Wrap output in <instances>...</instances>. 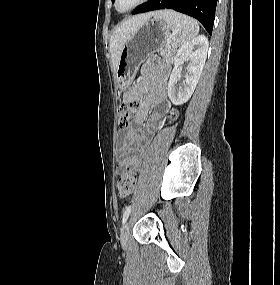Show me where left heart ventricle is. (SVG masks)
I'll list each match as a JSON object with an SVG mask.
<instances>
[{"label":"left heart ventricle","mask_w":280,"mask_h":285,"mask_svg":"<svg viewBox=\"0 0 280 285\" xmlns=\"http://www.w3.org/2000/svg\"><path fill=\"white\" fill-rule=\"evenodd\" d=\"M137 0H119L118 7L120 10H126L131 7Z\"/></svg>","instance_id":"1"}]
</instances>
